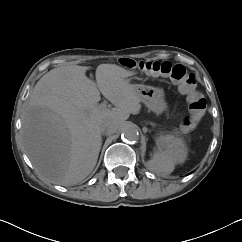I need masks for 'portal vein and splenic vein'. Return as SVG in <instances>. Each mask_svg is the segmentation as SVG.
<instances>
[{"label":"portal vein and splenic vein","instance_id":"portal-vein-and-splenic-vein-1","mask_svg":"<svg viewBox=\"0 0 242 242\" xmlns=\"http://www.w3.org/2000/svg\"><path fill=\"white\" fill-rule=\"evenodd\" d=\"M107 107V103L103 102L99 105V109H105Z\"/></svg>","mask_w":242,"mask_h":242}]
</instances>
